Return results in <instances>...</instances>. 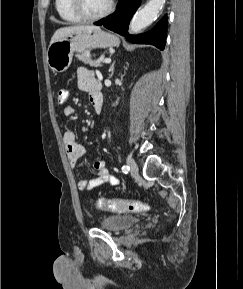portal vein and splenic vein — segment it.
Segmentation results:
<instances>
[{
	"mask_svg": "<svg viewBox=\"0 0 243 289\" xmlns=\"http://www.w3.org/2000/svg\"><path fill=\"white\" fill-rule=\"evenodd\" d=\"M102 61H103V63H106V64L111 63V59L110 58L103 59Z\"/></svg>",
	"mask_w": 243,
	"mask_h": 289,
	"instance_id": "obj_1",
	"label": "portal vein and splenic vein"
}]
</instances>
